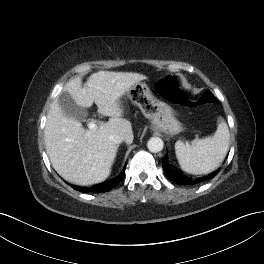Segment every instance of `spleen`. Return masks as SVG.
<instances>
[{"label":"spleen","instance_id":"obj_1","mask_svg":"<svg viewBox=\"0 0 264 264\" xmlns=\"http://www.w3.org/2000/svg\"><path fill=\"white\" fill-rule=\"evenodd\" d=\"M229 139L228 126L221 119L213 136L194 140L191 145L177 141L175 153L181 168L190 174H205L215 170L228 152Z\"/></svg>","mask_w":264,"mask_h":264}]
</instances>
